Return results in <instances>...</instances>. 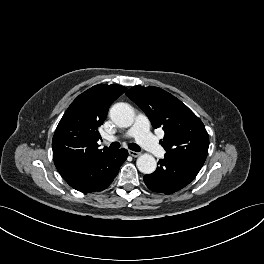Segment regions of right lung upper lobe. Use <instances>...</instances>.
Here are the masks:
<instances>
[{"label": "right lung upper lobe", "mask_w": 264, "mask_h": 264, "mask_svg": "<svg viewBox=\"0 0 264 264\" xmlns=\"http://www.w3.org/2000/svg\"><path fill=\"white\" fill-rule=\"evenodd\" d=\"M125 90L121 85H95L68 107L52 141L54 163L62 177L111 151L107 147L98 148L97 141L101 139L98 129L109 106Z\"/></svg>", "instance_id": "1"}]
</instances>
